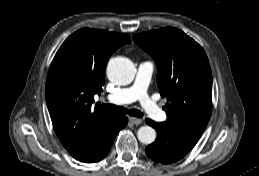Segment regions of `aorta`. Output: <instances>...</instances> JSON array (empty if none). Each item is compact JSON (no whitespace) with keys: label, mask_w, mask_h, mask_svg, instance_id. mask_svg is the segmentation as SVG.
I'll return each mask as SVG.
<instances>
[{"label":"aorta","mask_w":259,"mask_h":176,"mask_svg":"<svg viewBox=\"0 0 259 176\" xmlns=\"http://www.w3.org/2000/svg\"><path fill=\"white\" fill-rule=\"evenodd\" d=\"M136 69L131 60L125 57L112 58L107 66V76L118 85H127L135 77ZM156 131L150 126H142L137 131V138L143 144H151L156 139Z\"/></svg>","instance_id":"aorta-1"}]
</instances>
